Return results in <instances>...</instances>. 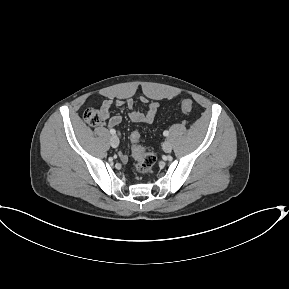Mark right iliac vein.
<instances>
[{
    "label": "right iliac vein",
    "instance_id": "right-iliac-vein-1",
    "mask_svg": "<svg viewBox=\"0 0 289 289\" xmlns=\"http://www.w3.org/2000/svg\"><path fill=\"white\" fill-rule=\"evenodd\" d=\"M110 144L113 148H116L118 147L119 145V139L116 135H112L111 138H110Z\"/></svg>",
    "mask_w": 289,
    "mask_h": 289
}]
</instances>
